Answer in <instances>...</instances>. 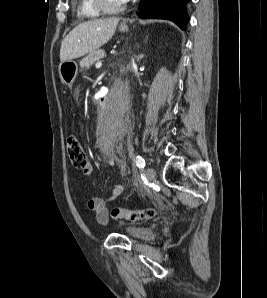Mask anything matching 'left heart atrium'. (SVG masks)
<instances>
[{
  "label": "left heart atrium",
  "mask_w": 267,
  "mask_h": 298,
  "mask_svg": "<svg viewBox=\"0 0 267 298\" xmlns=\"http://www.w3.org/2000/svg\"><path fill=\"white\" fill-rule=\"evenodd\" d=\"M129 0H121L122 3H126L128 2Z\"/></svg>",
  "instance_id": "left-heart-atrium-1"
}]
</instances>
